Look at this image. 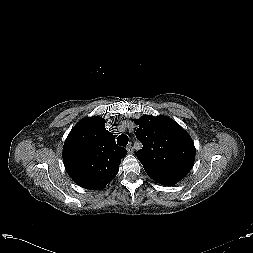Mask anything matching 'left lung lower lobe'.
<instances>
[{
    "mask_svg": "<svg viewBox=\"0 0 253 253\" xmlns=\"http://www.w3.org/2000/svg\"><path fill=\"white\" fill-rule=\"evenodd\" d=\"M146 173L157 183L171 186L179 182L186 175L164 171H146Z\"/></svg>",
    "mask_w": 253,
    "mask_h": 253,
    "instance_id": "obj_1",
    "label": "left lung lower lobe"
}]
</instances>
